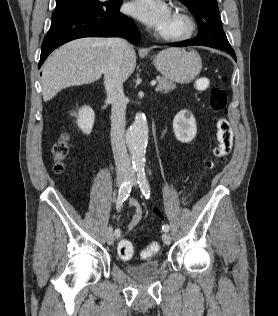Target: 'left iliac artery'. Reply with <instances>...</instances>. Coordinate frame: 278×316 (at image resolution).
<instances>
[{
  "label": "left iliac artery",
  "instance_id": "44dca946",
  "mask_svg": "<svg viewBox=\"0 0 278 316\" xmlns=\"http://www.w3.org/2000/svg\"><path fill=\"white\" fill-rule=\"evenodd\" d=\"M137 178H138V183H139L142 194L144 195L146 199H149L151 195V190H150V185L146 178L145 170L143 167H140L137 169ZM169 229L170 228L168 224H164L162 226V230L164 232H168Z\"/></svg>",
  "mask_w": 278,
  "mask_h": 316
}]
</instances>
